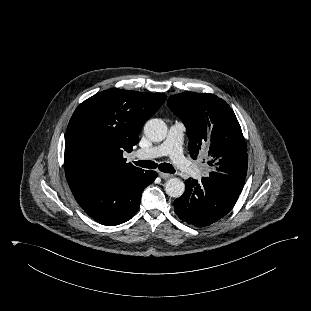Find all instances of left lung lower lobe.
Listing matches in <instances>:
<instances>
[{
    "instance_id": "left-lung-lower-lobe-1",
    "label": "left lung lower lobe",
    "mask_w": 311,
    "mask_h": 311,
    "mask_svg": "<svg viewBox=\"0 0 311 311\" xmlns=\"http://www.w3.org/2000/svg\"><path fill=\"white\" fill-rule=\"evenodd\" d=\"M239 197L209 177L201 181L187 179L184 194L174 201L178 217L197 227L208 226L224 217Z\"/></svg>"
}]
</instances>
